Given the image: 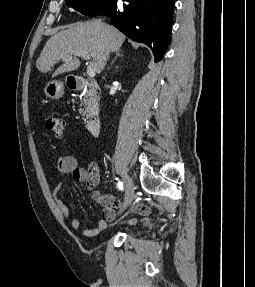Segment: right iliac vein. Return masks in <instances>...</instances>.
<instances>
[{"instance_id":"1","label":"right iliac vein","mask_w":255,"mask_h":287,"mask_svg":"<svg viewBox=\"0 0 255 287\" xmlns=\"http://www.w3.org/2000/svg\"><path fill=\"white\" fill-rule=\"evenodd\" d=\"M124 183H125V198L124 203L121 209V212L125 210L133 201L134 198V183L132 179L129 176L124 177Z\"/></svg>"}]
</instances>
